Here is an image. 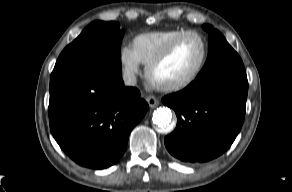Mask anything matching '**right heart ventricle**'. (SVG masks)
I'll list each match as a JSON object with an SVG mask.
<instances>
[{
    "instance_id": "obj_1",
    "label": "right heart ventricle",
    "mask_w": 292,
    "mask_h": 192,
    "mask_svg": "<svg viewBox=\"0 0 292 192\" xmlns=\"http://www.w3.org/2000/svg\"><path fill=\"white\" fill-rule=\"evenodd\" d=\"M185 29H167L141 33L134 37L132 47L142 64L147 65L158 55L175 37Z\"/></svg>"
}]
</instances>
